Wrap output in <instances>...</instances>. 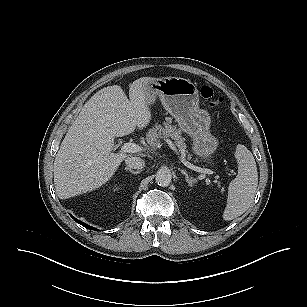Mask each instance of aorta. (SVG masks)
<instances>
[{"mask_svg": "<svg viewBox=\"0 0 307 307\" xmlns=\"http://www.w3.org/2000/svg\"><path fill=\"white\" fill-rule=\"evenodd\" d=\"M155 180L159 186H168L172 180L171 171L166 167L160 168L156 173Z\"/></svg>", "mask_w": 307, "mask_h": 307, "instance_id": "762f6f07", "label": "aorta"}]
</instances>
